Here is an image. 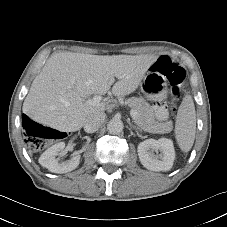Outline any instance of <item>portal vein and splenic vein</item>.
<instances>
[{
	"mask_svg": "<svg viewBox=\"0 0 227 227\" xmlns=\"http://www.w3.org/2000/svg\"><path fill=\"white\" fill-rule=\"evenodd\" d=\"M114 80L115 79L113 78L111 81L114 82ZM101 100H102L101 95H95L92 99H89L88 102H89V104L95 106V105H99ZM130 114H131V117L133 118V120H135L138 115V113L135 109H131Z\"/></svg>",
	"mask_w": 227,
	"mask_h": 227,
	"instance_id": "1",
	"label": "portal vein and splenic vein"
}]
</instances>
